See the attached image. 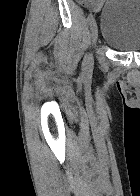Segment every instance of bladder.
Listing matches in <instances>:
<instances>
[{
	"mask_svg": "<svg viewBox=\"0 0 140 196\" xmlns=\"http://www.w3.org/2000/svg\"><path fill=\"white\" fill-rule=\"evenodd\" d=\"M103 41L121 52H140V0H107L101 15Z\"/></svg>",
	"mask_w": 140,
	"mask_h": 196,
	"instance_id": "obj_1",
	"label": "bladder"
}]
</instances>
